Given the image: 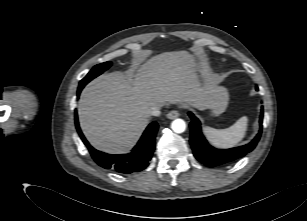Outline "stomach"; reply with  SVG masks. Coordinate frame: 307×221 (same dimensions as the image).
I'll return each instance as SVG.
<instances>
[{
	"label": "stomach",
	"instance_id": "1",
	"mask_svg": "<svg viewBox=\"0 0 307 221\" xmlns=\"http://www.w3.org/2000/svg\"><path fill=\"white\" fill-rule=\"evenodd\" d=\"M229 94L226 88L217 87L214 100L207 108L211 116L215 117L223 113L228 105Z\"/></svg>",
	"mask_w": 307,
	"mask_h": 221
}]
</instances>
